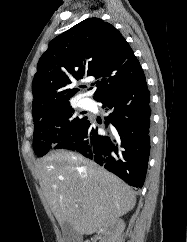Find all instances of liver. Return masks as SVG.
<instances>
[{"instance_id":"1","label":"liver","mask_w":187,"mask_h":242,"mask_svg":"<svg viewBox=\"0 0 187 242\" xmlns=\"http://www.w3.org/2000/svg\"><path fill=\"white\" fill-rule=\"evenodd\" d=\"M36 176L61 228L79 235L125 215L136 203L132 189L95 162L68 151H53L37 162Z\"/></svg>"}]
</instances>
